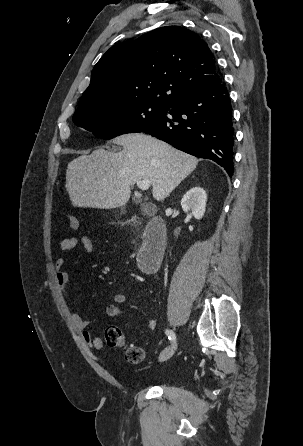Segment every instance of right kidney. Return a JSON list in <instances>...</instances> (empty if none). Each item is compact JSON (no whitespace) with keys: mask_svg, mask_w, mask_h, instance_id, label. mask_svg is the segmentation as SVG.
I'll return each instance as SVG.
<instances>
[{"mask_svg":"<svg viewBox=\"0 0 303 446\" xmlns=\"http://www.w3.org/2000/svg\"><path fill=\"white\" fill-rule=\"evenodd\" d=\"M207 194L201 187H193L181 199V206L185 212H190L196 219L204 216Z\"/></svg>","mask_w":303,"mask_h":446,"instance_id":"1","label":"right kidney"}]
</instances>
